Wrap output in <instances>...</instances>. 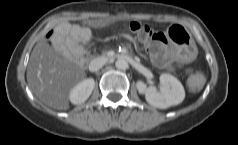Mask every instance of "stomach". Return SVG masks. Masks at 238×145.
Instances as JSON below:
<instances>
[{"label": "stomach", "mask_w": 238, "mask_h": 145, "mask_svg": "<svg viewBox=\"0 0 238 145\" xmlns=\"http://www.w3.org/2000/svg\"><path fill=\"white\" fill-rule=\"evenodd\" d=\"M166 36L184 58H192L199 51V44L194 35L187 31L183 25H172L167 29Z\"/></svg>", "instance_id": "1"}]
</instances>
